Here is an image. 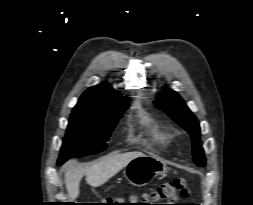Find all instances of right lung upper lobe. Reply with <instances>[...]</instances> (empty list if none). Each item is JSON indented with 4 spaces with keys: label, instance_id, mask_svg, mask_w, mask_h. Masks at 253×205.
Segmentation results:
<instances>
[{
    "label": "right lung upper lobe",
    "instance_id": "cb5924a9",
    "mask_svg": "<svg viewBox=\"0 0 253 205\" xmlns=\"http://www.w3.org/2000/svg\"><path fill=\"white\" fill-rule=\"evenodd\" d=\"M125 100L128 99L123 98L110 85L101 83L87 89L73 111L102 115L107 113L116 103Z\"/></svg>",
    "mask_w": 253,
    "mask_h": 205
}]
</instances>
